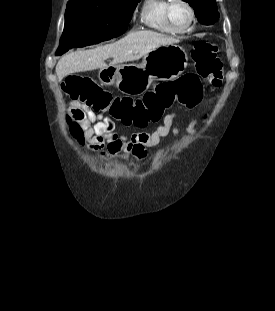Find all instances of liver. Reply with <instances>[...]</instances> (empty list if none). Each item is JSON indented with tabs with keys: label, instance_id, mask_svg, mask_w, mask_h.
Instances as JSON below:
<instances>
[{
	"label": "liver",
	"instance_id": "obj_1",
	"mask_svg": "<svg viewBox=\"0 0 275 311\" xmlns=\"http://www.w3.org/2000/svg\"><path fill=\"white\" fill-rule=\"evenodd\" d=\"M176 42L178 40L154 31L131 32L115 43L63 56L56 65V74L62 81L72 73L106 68L105 60L110 57L113 58L111 65L135 61L161 45Z\"/></svg>",
	"mask_w": 275,
	"mask_h": 311
}]
</instances>
